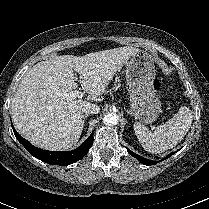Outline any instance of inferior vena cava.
Masks as SVG:
<instances>
[{"mask_svg":"<svg viewBox=\"0 0 209 209\" xmlns=\"http://www.w3.org/2000/svg\"><path fill=\"white\" fill-rule=\"evenodd\" d=\"M82 111L85 113V115L98 114L100 111V108L97 104H93L89 102L83 106Z\"/></svg>","mask_w":209,"mask_h":209,"instance_id":"inferior-vena-cava-1","label":"inferior vena cava"}]
</instances>
